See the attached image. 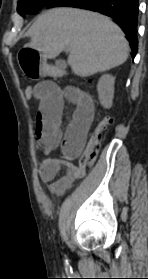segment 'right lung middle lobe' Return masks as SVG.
Segmentation results:
<instances>
[{
    "instance_id": "1",
    "label": "right lung middle lobe",
    "mask_w": 148,
    "mask_h": 279,
    "mask_svg": "<svg viewBox=\"0 0 148 279\" xmlns=\"http://www.w3.org/2000/svg\"><path fill=\"white\" fill-rule=\"evenodd\" d=\"M52 0H19L17 11L25 17L26 14H34L45 7Z\"/></svg>"
}]
</instances>
